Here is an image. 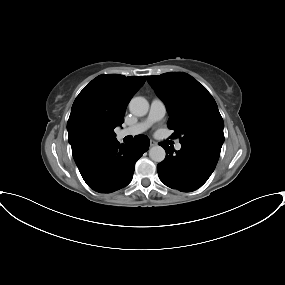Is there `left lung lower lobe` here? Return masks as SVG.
Segmentation results:
<instances>
[{"mask_svg": "<svg viewBox=\"0 0 285 285\" xmlns=\"http://www.w3.org/2000/svg\"><path fill=\"white\" fill-rule=\"evenodd\" d=\"M166 151L165 159L157 165L160 180L170 188L191 192L210 177L218 162L220 151L205 146L182 144L179 151L160 143Z\"/></svg>", "mask_w": 285, "mask_h": 285, "instance_id": "left-lung-lower-lobe-1", "label": "left lung lower lobe"}]
</instances>
